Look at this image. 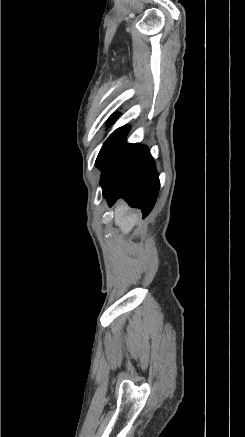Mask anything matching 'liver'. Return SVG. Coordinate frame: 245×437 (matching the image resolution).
I'll use <instances>...</instances> for the list:
<instances>
[{
  "instance_id": "liver-1",
  "label": "liver",
  "mask_w": 245,
  "mask_h": 437,
  "mask_svg": "<svg viewBox=\"0 0 245 437\" xmlns=\"http://www.w3.org/2000/svg\"><path fill=\"white\" fill-rule=\"evenodd\" d=\"M128 207L124 204L115 208L114 222L123 234H128L137 222L136 214H127Z\"/></svg>"
}]
</instances>
